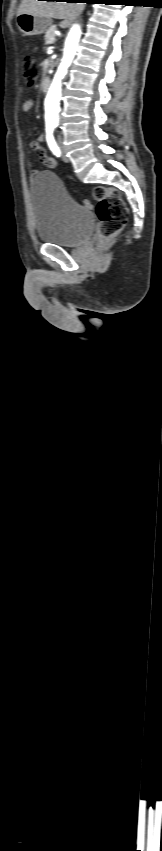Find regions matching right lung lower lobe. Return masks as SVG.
I'll list each match as a JSON object with an SVG mask.
<instances>
[{
  "label": "right lung lower lobe",
  "instance_id": "1",
  "mask_svg": "<svg viewBox=\"0 0 162 851\" xmlns=\"http://www.w3.org/2000/svg\"><path fill=\"white\" fill-rule=\"evenodd\" d=\"M47 1H59V0H47ZM66 2H83L87 4L96 3V0H65Z\"/></svg>",
  "mask_w": 162,
  "mask_h": 851
}]
</instances>
